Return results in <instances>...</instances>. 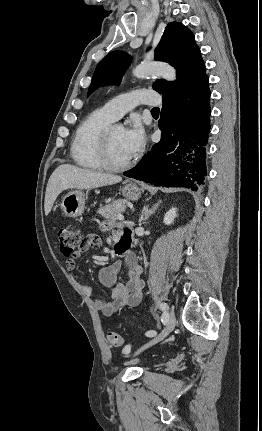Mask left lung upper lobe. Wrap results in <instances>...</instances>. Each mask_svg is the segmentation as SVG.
I'll list each match as a JSON object with an SVG mask.
<instances>
[{
  "label": "left lung upper lobe",
  "mask_w": 262,
  "mask_h": 431,
  "mask_svg": "<svg viewBox=\"0 0 262 431\" xmlns=\"http://www.w3.org/2000/svg\"><path fill=\"white\" fill-rule=\"evenodd\" d=\"M130 56L123 51H114L97 65L88 95L100 86L118 84L130 64ZM155 60L165 61L177 70L175 83L157 80L153 88L163 96L186 91L207 78L206 68L192 32L181 23L167 25L155 49Z\"/></svg>",
  "instance_id": "obj_1"
}]
</instances>
